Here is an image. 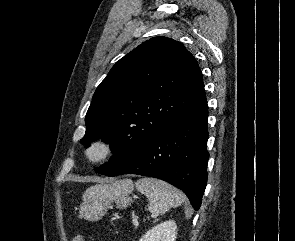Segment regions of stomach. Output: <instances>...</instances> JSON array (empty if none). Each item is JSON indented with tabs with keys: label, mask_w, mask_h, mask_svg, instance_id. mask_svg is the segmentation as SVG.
<instances>
[{
	"label": "stomach",
	"mask_w": 295,
	"mask_h": 241,
	"mask_svg": "<svg viewBox=\"0 0 295 241\" xmlns=\"http://www.w3.org/2000/svg\"><path fill=\"white\" fill-rule=\"evenodd\" d=\"M129 181L96 184L87 189L80 206L81 216L86 220L96 221L101 219L113 204L118 208L130 206L132 199L129 194L133 190V183Z\"/></svg>",
	"instance_id": "1"
}]
</instances>
